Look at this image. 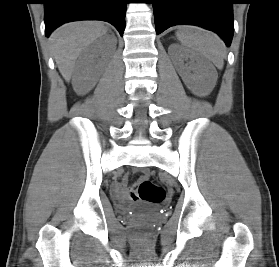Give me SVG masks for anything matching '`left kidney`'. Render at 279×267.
<instances>
[{"label": "left kidney", "mask_w": 279, "mask_h": 267, "mask_svg": "<svg viewBox=\"0 0 279 267\" xmlns=\"http://www.w3.org/2000/svg\"><path fill=\"white\" fill-rule=\"evenodd\" d=\"M184 59H190L189 66L184 64ZM173 63L184 84L193 94L202 96L213 89L215 73L212 66L197 54L185 49H179Z\"/></svg>", "instance_id": "5707ae66"}]
</instances>
